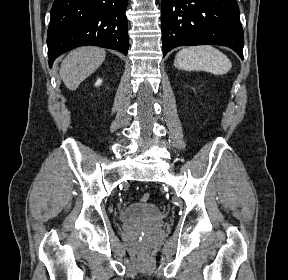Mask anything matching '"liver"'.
Wrapping results in <instances>:
<instances>
[{
	"mask_svg": "<svg viewBox=\"0 0 288 280\" xmlns=\"http://www.w3.org/2000/svg\"><path fill=\"white\" fill-rule=\"evenodd\" d=\"M106 57L104 49L82 47L71 51L62 61L60 76L69 90H76L80 83L93 74Z\"/></svg>",
	"mask_w": 288,
	"mask_h": 280,
	"instance_id": "liver-1",
	"label": "liver"
}]
</instances>
